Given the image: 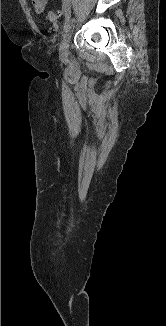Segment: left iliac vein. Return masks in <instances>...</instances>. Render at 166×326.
Returning a JSON list of instances; mask_svg holds the SVG:
<instances>
[{
	"label": "left iliac vein",
	"mask_w": 166,
	"mask_h": 326,
	"mask_svg": "<svg viewBox=\"0 0 166 326\" xmlns=\"http://www.w3.org/2000/svg\"><path fill=\"white\" fill-rule=\"evenodd\" d=\"M74 23H75V18L71 19L67 28L65 29L64 38H63L62 44L60 46V55L62 57H66V55H67L70 38H71V31L74 27Z\"/></svg>",
	"instance_id": "1"
}]
</instances>
